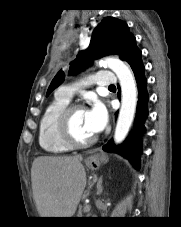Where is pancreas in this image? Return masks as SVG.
Instances as JSON below:
<instances>
[{
    "instance_id": "1",
    "label": "pancreas",
    "mask_w": 181,
    "mask_h": 227,
    "mask_svg": "<svg viewBox=\"0 0 181 227\" xmlns=\"http://www.w3.org/2000/svg\"><path fill=\"white\" fill-rule=\"evenodd\" d=\"M84 212H87V209H85V206L84 207H80L79 211H78V217H84L83 216Z\"/></svg>"
}]
</instances>
